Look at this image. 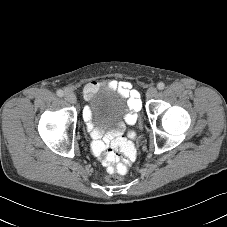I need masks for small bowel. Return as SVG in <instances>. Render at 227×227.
Masks as SVG:
<instances>
[{
    "instance_id": "small-bowel-1",
    "label": "small bowel",
    "mask_w": 227,
    "mask_h": 227,
    "mask_svg": "<svg viewBox=\"0 0 227 227\" xmlns=\"http://www.w3.org/2000/svg\"><path fill=\"white\" fill-rule=\"evenodd\" d=\"M102 87H106L112 91H117L123 98L127 99V105L130 112L125 116V122L130 125L134 124L137 118L135 111L139 110L140 108L138 91L133 89L131 83L127 81H92L84 86V97L86 99H90ZM84 118L87 121L88 129L92 130L91 112L88 108L84 110ZM91 133L94 139L92 142V150L96 155H100L102 152L108 149L109 144L107 141L100 140L101 133L99 131H92ZM118 145L122 147V152L125 156V159L117 164V167L120 168L122 165L127 166V164L132 160L133 152L125 140H120Z\"/></svg>"
}]
</instances>
